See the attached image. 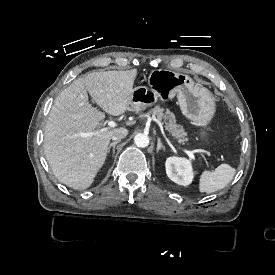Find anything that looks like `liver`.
<instances>
[{"label": "liver", "instance_id": "6515ba94", "mask_svg": "<svg viewBox=\"0 0 275 275\" xmlns=\"http://www.w3.org/2000/svg\"><path fill=\"white\" fill-rule=\"evenodd\" d=\"M138 76L130 71L93 72L76 79L56 98L44 134V151L56 178L73 189L92 186L106 162L116 129H106L104 113L89 104V94L105 110L120 116L129 110Z\"/></svg>", "mask_w": 275, "mask_h": 275}]
</instances>
